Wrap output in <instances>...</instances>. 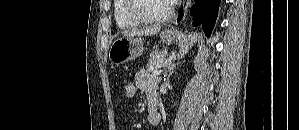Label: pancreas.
Returning a JSON list of instances; mask_svg holds the SVG:
<instances>
[{
  "label": "pancreas",
  "instance_id": "cf45deb5",
  "mask_svg": "<svg viewBox=\"0 0 299 130\" xmlns=\"http://www.w3.org/2000/svg\"><path fill=\"white\" fill-rule=\"evenodd\" d=\"M167 50L158 51L155 50L151 52L150 58L147 64V70H155L158 66H164V61L166 60Z\"/></svg>",
  "mask_w": 299,
  "mask_h": 130
}]
</instances>
